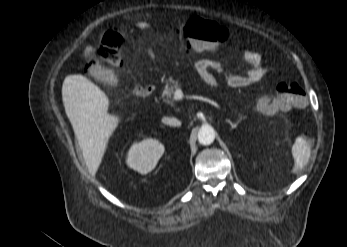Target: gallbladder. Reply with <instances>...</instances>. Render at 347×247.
<instances>
[{"instance_id": "1", "label": "gallbladder", "mask_w": 347, "mask_h": 247, "mask_svg": "<svg viewBox=\"0 0 347 247\" xmlns=\"http://www.w3.org/2000/svg\"><path fill=\"white\" fill-rule=\"evenodd\" d=\"M91 51L92 48H87L84 56L86 58H89V60L91 59L92 55H91ZM89 73L96 79L99 80L105 84H108L109 86H114L116 87L118 84V77L116 75V73L114 72L113 69L111 68H102L99 65L96 66H91L89 68Z\"/></svg>"}]
</instances>
